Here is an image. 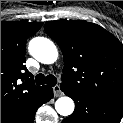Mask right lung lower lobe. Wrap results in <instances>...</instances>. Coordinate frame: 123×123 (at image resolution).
Masks as SVG:
<instances>
[{
	"label": "right lung lower lobe",
	"instance_id": "right-lung-lower-lobe-1",
	"mask_svg": "<svg viewBox=\"0 0 123 123\" xmlns=\"http://www.w3.org/2000/svg\"><path fill=\"white\" fill-rule=\"evenodd\" d=\"M53 97V89L44 86L40 95L28 106L10 114L1 120V123H34L37 109Z\"/></svg>",
	"mask_w": 123,
	"mask_h": 123
}]
</instances>
